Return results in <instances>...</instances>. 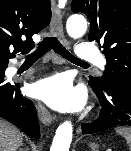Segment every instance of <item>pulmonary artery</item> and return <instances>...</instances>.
Wrapping results in <instances>:
<instances>
[{
  "mask_svg": "<svg viewBox=\"0 0 131 151\" xmlns=\"http://www.w3.org/2000/svg\"><path fill=\"white\" fill-rule=\"evenodd\" d=\"M77 58L84 62H92L99 68L103 69L105 67L106 61L104 57L99 54L97 49L88 42H83L78 45L76 50Z\"/></svg>",
  "mask_w": 131,
  "mask_h": 151,
  "instance_id": "e3ab8cb5",
  "label": "pulmonary artery"
}]
</instances>
